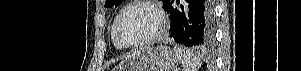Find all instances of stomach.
<instances>
[{"mask_svg": "<svg viewBox=\"0 0 301 71\" xmlns=\"http://www.w3.org/2000/svg\"><path fill=\"white\" fill-rule=\"evenodd\" d=\"M178 61L166 46L145 47L126 57L116 71H175Z\"/></svg>", "mask_w": 301, "mask_h": 71, "instance_id": "1", "label": "stomach"}]
</instances>
